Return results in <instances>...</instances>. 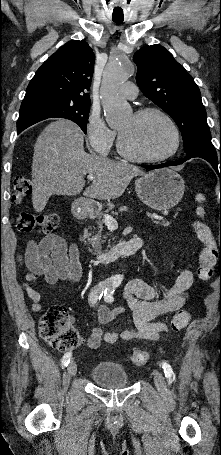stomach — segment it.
Segmentation results:
<instances>
[{"mask_svg": "<svg viewBox=\"0 0 221 455\" xmlns=\"http://www.w3.org/2000/svg\"><path fill=\"white\" fill-rule=\"evenodd\" d=\"M183 178L173 169L163 168L142 175L135 181V191L148 207L164 211L176 206L184 195Z\"/></svg>", "mask_w": 221, "mask_h": 455, "instance_id": "obj_1", "label": "stomach"}]
</instances>
